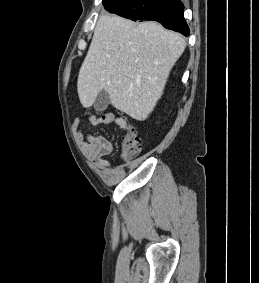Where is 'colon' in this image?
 Masks as SVG:
<instances>
[{
	"label": "colon",
	"instance_id": "colon-1",
	"mask_svg": "<svg viewBox=\"0 0 259 283\" xmlns=\"http://www.w3.org/2000/svg\"><path fill=\"white\" fill-rule=\"evenodd\" d=\"M127 131L122 138V159L126 162L133 160L140 151L139 136L136 128L125 118Z\"/></svg>",
	"mask_w": 259,
	"mask_h": 283
}]
</instances>
